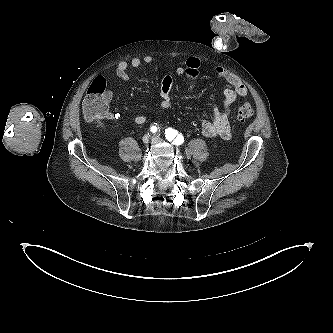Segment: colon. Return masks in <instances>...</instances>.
<instances>
[{
    "instance_id": "obj_1",
    "label": "colon",
    "mask_w": 333,
    "mask_h": 333,
    "mask_svg": "<svg viewBox=\"0 0 333 333\" xmlns=\"http://www.w3.org/2000/svg\"><path fill=\"white\" fill-rule=\"evenodd\" d=\"M106 81L102 77L93 80L88 88L83 102V114L89 121H99L108 112V103L105 98ZM253 109L250 105L244 104L237 110V119L241 122L249 120L253 116Z\"/></svg>"
}]
</instances>
